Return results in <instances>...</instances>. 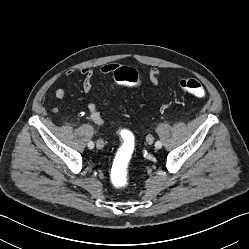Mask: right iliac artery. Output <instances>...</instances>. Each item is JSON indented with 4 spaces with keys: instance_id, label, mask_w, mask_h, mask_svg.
<instances>
[{
    "instance_id": "82829eb1",
    "label": "right iliac artery",
    "mask_w": 249,
    "mask_h": 249,
    "mask_svg": "<svg viewBox=\"0 0 249 249\" xmlns=\"http://www.w3.org/2000/svg\"><path fill=\"white\" fill-rule=\"evenodd\" d=\"M88 147H89L90 149H93V148H94V143H93L92 141H90V142L88 143Z\"/></svg>"
}]
</instances>
